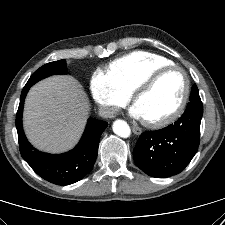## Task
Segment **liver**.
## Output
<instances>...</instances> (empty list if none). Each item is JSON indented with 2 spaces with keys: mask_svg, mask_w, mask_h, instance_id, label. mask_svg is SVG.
<instances>
[{
  "mask_svg": "<svg viewBox=\"0 0 225 225\" xmlns=\"http://www.w3.org/2000/svg\"><path fill=\"white\" fill-rule=\"evenodd\" d=\"M89 100L73 77L52 76L29 91L23 125L29 141L39 150L59 153L72 148L86 124Z\"/></svg>",
  "mask_w": 225,
  "mask_h": 225,
  "instance_id": "liver-1",
  "label": "liver"
}]
</instances>
